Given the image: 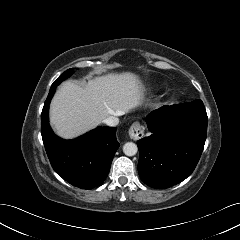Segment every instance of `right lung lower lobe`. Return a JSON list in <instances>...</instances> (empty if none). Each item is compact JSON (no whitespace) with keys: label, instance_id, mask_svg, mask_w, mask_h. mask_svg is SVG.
<instances>
[{"label":"right lung lower lobe","instance_id":"1","mask_svg":"<svg viewBox=\"0 0 240 240\" xmlns=\"http://www.w3.org/2000/svg\"><path fill=\"white\" fill-rule=\"evenodd\" d=\"M55 89L50 90L41 114V134L50 163L65 181L92 189L106 179L119 147L116 128L98 127L76 139L63 140L50 128L48 111Z\"/></svg>","mask_w":240,"mask_h":240}]
</instances>
